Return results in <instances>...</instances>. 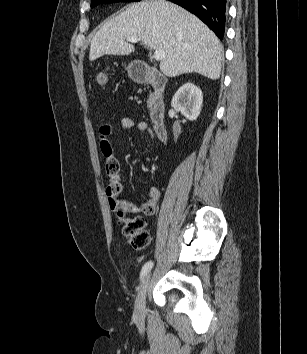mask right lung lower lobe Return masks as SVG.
I'll use <instances>...</instances> for the list:
<instances>
[{
  "label": "right lung lower lobe",
  "mask_w": 307,
  "mask_h": 354,
  "mask_svg": "<svg viewBox=\"0 0 307 354\" xmlns=\"http://www.w3.org/2000/svg\"><path fill=\"white\" fill-rule=\"evenodd\" d=\"M201 19L218 38L223 39L225 32L227 0H169Z\"/></svg>",
  "instance_id": "98d812e1"
}]
</instances>
